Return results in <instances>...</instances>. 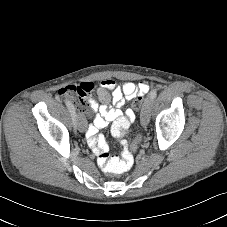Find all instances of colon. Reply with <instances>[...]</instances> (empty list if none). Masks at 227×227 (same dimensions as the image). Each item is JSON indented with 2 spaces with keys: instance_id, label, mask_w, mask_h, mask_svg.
I'll use <instances>...</instances> for the list:
<instances>
[{
  "instance_id": "obj_1",
  "label": "colon",
  "mask_w": 227,
  "mask_h": 227,
  "mask_svg": "<svg viewBox=\"0 0 227 227\" xmlns=\"http://www.w3.org/2000/svg\"><path fill=\"white\" fill-rule=\"evenodd\" d=\"M58 94L60 96H67V97L74 98L80 95V91L75 86L71 85L60 89ZM142 103H143V98L142 96H139L133 102V109L139 110L142 106ZM138 141L139 139L131 146L126 147L123 160L121 161L115 159L114 157H111L108 153H101L98 156V163L100 167L103 168L106 172L113 173V174H120L126 171L132 165L133 151L136 148V144Z\"/></svg>"
}]
</instances>
